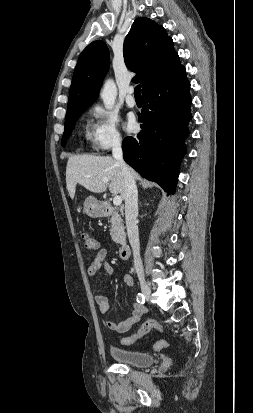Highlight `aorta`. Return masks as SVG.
<instances>
[{
  "instance_id": "aorta-1",
  "label": "aorta",
  "mask_w": 253,
  "mask_h": 413,
  "mask_svg": "<svg viewBox=\"0 0 253 413\" xmlns=\"http://www.w3.org/2000/svg\"><path fill=\"white\" fill-rule=\"evenodd\" d=\"M117 97V88L113 80L109 79L104 83L101 91V98L106 108H112Z\"/></svg>"
}]
</instances>
